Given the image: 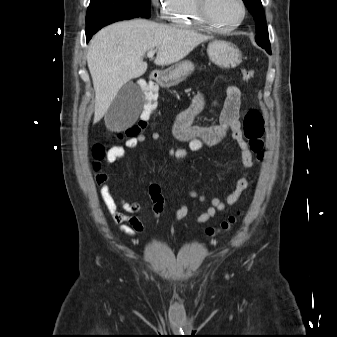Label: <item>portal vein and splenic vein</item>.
Returning <instances> with one entry per match:
<instances>
[{
    "mask_svg": "<svg viewBox=\"0 0 337 337\" xmlns=\"http://www.w3.org/2000/svg\"><path fill=\"white\" fill-rule=\"evenodd\" d=\"M154 54H155V51H149L147 53V57L152 58L154 56Z\"/></svg>",
    "mask_w": 337,
    "mask_h": 337,
    "instance_id": "obj_1",
    "label": "portal vein and splenic vein"
}]
</instances>
